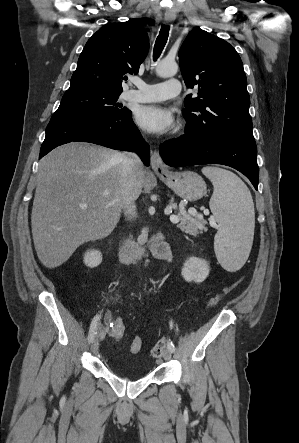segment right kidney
<instances>
[{"mask_svg":"<svg viewBox=\"0 0 299 443\" xmlns=\"http://www.w3.org/2000/svg\"><path fill=\"white\" fill-rule=\"evenodd\" d=\"M102 262V254L97 250H88L84 255V263L90 268L97 267Z\"/></svg>","mask_w":299,"mask_h":443,"instance_id":"obj_1","label":"right kidney"}]
</instances>
